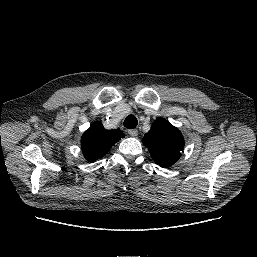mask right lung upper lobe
<instances>
[{"instance_id": "cb5924a9", "label": "right lung upper lobe", "mask_w": 257, "mask_h": 257, "mask_svg": "<svg viewBox=\"0 0 257 257\" xmlns=\"http://www.w3.org/2000/svg\"><path fill=\"white\" fill-rule=\"evenodd\" d=\"M123 137L120 130H106L101 122H95L81 138L84 157L91 162L102 158Z\"/></svg>"}]
</instances>
